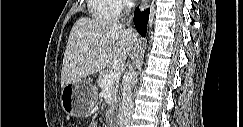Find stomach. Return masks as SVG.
I'll return each instance as SVG.
<instances>
[{
	"mask_svg": "<svg viewBox=\"0 0 243 127\" xmlns=\"http://www.w3.org/2000/svg\"><path fill=\"white\" fill-rule=\"evenodd\" d=\"M60 99L61 106L67 115L85 117L97 101L96 87L89 81L81 79L64 86Z\"/></svg>",
	"mask_w": 243,
	"mask_h": 127,
	"instance_id": "obj_1",
	"label": "stomach"
}]
</instances>
